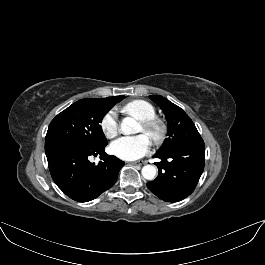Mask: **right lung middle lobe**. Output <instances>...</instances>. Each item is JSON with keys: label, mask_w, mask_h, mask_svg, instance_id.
<instances>
[{"label": "right lung middle lobe", "mask_w": 265, "mask_h": 265, "mask_svg": "<svg viewBox=\"0 0 265 265\" xmlns=\"http://www.w3.org/2000/svg\"><path fill=\"white\" fill-rule=\"evenodd\" d=\"M113 106L103 98H85L73 103L51 121L45 141L68 139L88 146L106 144L100 123Z\"/></svg>", "instance_id": "dd1d6c3e"}]
</instances>
